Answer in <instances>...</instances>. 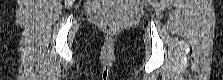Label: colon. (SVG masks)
<instances>
[{
  "mask_svg": "<svg viewBox=\"0 0 223 80\" xmlns=\"http://www.w3.org/2000/svg\"><path fill=\"white\" fill-rule=\"evenodd\" d=\"M102 27L107 33H110V34L116 32L117 30L116 26L110 23H104Z\"/></svg>",
  "mask_w": 223,
  "mask_h": 80,
  "instance_id": "obj_1",
  "label": "colon"
}]
</instances>
